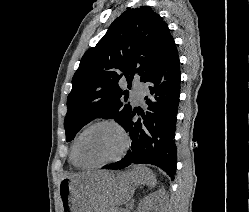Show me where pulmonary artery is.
<instances>
[{"instance_id":"e3ab8cb5","label":"pulmonary artery","mask_w":249,"mask_h":212,"mask_svg":"<svg viewBox=\"0 0 249 212\" xmlns=\"http://www.w3.org/2000/svg\"><path fill=\"white\" fill-rule=\"evenodd\" d=\"M146 91L145 85L135 83L131 91V97L135 103H142L144 101V94Z\"/></svg>"}]
</instances>
